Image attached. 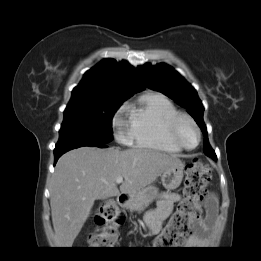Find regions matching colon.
Masks as SVG:
<instances>
[{
    "mask_svg": "<svg viewBox=\"0 0 261 261\" xmlns=\"http://www.w3.org/2000/svg\"><path fill=\"white\" fill-rule=\"evenodd\" d=\"M212 170L207 164L194 160L185 170L183 200L161 233L155 238L153 246L172 248L181 244L190 233L193 222L200 215L199 203L206 195ZM125 214L114 201H103L95 215V229L88 236L93 248H112L117 241L118 228L125 222Z\"/></svg>",
    "mask_w": 261,
    "mask_h": 261,
    "instance_id": "obj_1",
    "label": "colon"
}]
</instances>
